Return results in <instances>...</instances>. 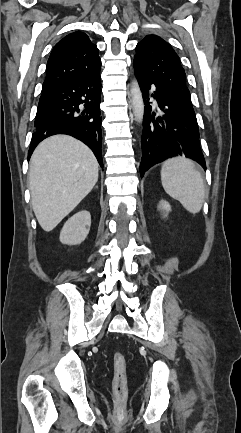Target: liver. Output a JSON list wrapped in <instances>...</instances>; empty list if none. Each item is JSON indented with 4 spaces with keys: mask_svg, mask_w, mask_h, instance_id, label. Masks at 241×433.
Masks as SVG:
<instances>
[{
    "mask_svg": "<svg viewBox=\"0 0 241 433\" xmlns=\"http://www.w3.org/2000/svg\"><path fill=\"white\" fill-rule=\"evenodd\" d=\"M98 162L81 141L55 135L34 150L29 167L31 203L38 223L52 231L92 190Z\"/></svg>",
    "mask_w": 241,
    "mask_h": 433,
    "instance_id": "6515ba94",
    "label": "liver"
}]
</instances>
